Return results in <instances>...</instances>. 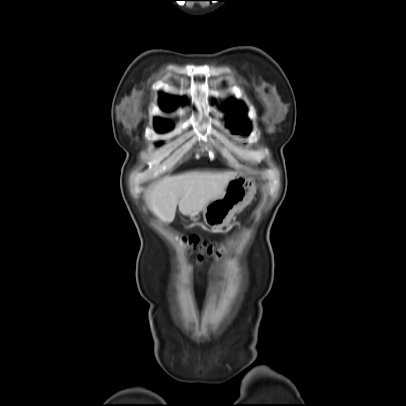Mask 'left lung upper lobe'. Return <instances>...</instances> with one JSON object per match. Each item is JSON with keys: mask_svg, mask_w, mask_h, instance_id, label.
<instances>
[{"mask_svg": "<svg viewBox=\"0 0 406 406\" xmlns=\"http://www.w3.org/2000/svg\"><path fill=\"white\" fill-rule=\"evenodd\" d=\"M242 110H243V107H242V105H241L240 103L234 104V105L232 106V111H233L234 113H238V112H240V111H242ZM236 127H237V128H240L242 132H245V131L248 129V126H247V125H244L243 122H239V123L236 125Z\"/></svg>", "mask_w": 406, "mask_h": 406, "instance_id": "1", "label": "left lung upper lobe"}]
</instances>
